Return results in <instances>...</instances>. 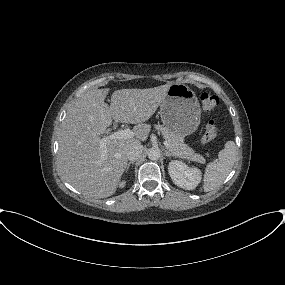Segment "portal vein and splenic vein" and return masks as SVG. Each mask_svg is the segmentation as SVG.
Here are the masks:
<instances>
[{
	"label": "portal vein and splenic vein",
	"mask_w": 285,
	"mask_h": 285,
	"mask_svg": "<svg viewBox=\"0 0 285 285\" xmlns=\"http://www.w3.org/2000/svg\"><path fill=\"white\" fill-rule=\"evenodd\" d=\"M133 136L134 132L128 128L124 130H118L110 134L109 136H104L103 138H101L100 148L102 149V152L105 153L106 144L109 140L127 139V138H132ZM164 145L168 147L169 146L168 141H164Z\"/></svg>",
	"instance_id": "obj_1"
}]
</instances>
